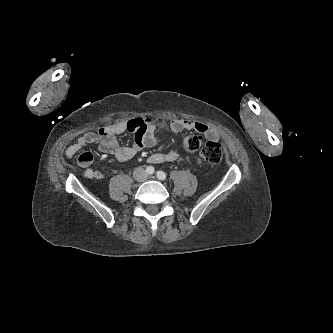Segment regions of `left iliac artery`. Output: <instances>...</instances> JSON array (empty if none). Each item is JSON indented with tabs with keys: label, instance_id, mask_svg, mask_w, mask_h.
<instances>
[{
	"label": "left iliac artery",
	"instance_id": "obj_1",
	"mask_svg": "<svg viewBox=\"0 0 333 333\" xmlns=\"http://www.w3.org/2000/svg\"><path fill=\"white\" fill-rule=\"evenodd\" d=\"M156 175L158 179L166 180V174L163 171H158Z\"/></svg>",
	"mask_w": 333,
	"mask_h": 333
}]
</instances>
